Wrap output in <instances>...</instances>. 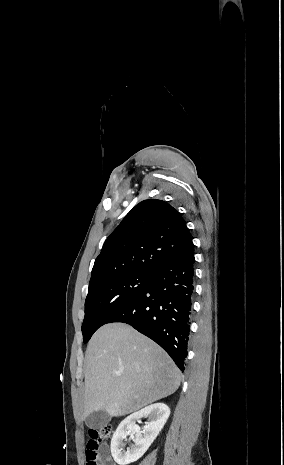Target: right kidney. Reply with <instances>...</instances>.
I'll list each match as a JSON object with an SVG mask.
<instances>
[{"label": "right kidney", "mask_w": 284, "mask_h": 465, "mask_svg": "<svg viewBox=\"0 0 284 465\" xmlns=\"http://www.w3.org/2000/svg\"><path fill=\"white\" fill-rule=\"evenodd\" d=\"M169 415L170 409L167 405L155 403V405H149V407L141 409L138 413H132V415L126 417L116 429L111 441V453L115 463L129 465V463L138 461L149 449L151 443L155 441ZM143 417H148L150 423H146L145 427H143V435L142 433H136L132 437L135 445H131L128 451H124L123 441L129 435L128 431H135L137 429L136 421L143 419Z\"/></svg>", "instance_id": "right-kidney-1"}]
</instances>
